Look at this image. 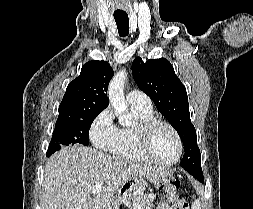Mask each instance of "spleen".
<instances>
[{
  "label": "spleen",
  "mask_w": 253,
  "mask_h": 209,
  "mask_svg": "<svg viewBox=\"0 0 253 209\" xmlns=\"http://www.w3.org/2000/svg\"><path fill=\"white\" fill-rule=\"evenodd\" d=\"M191 209H201V202L200 200H195L192 205H191Z\"/></svg>",
  "instance_id": "3e777b00"
}]
</instances>
